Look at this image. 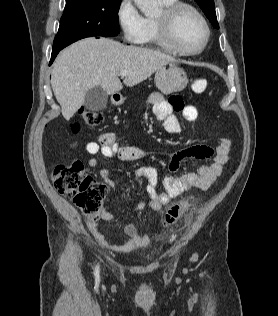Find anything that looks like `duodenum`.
Wrapping results in <instances>:
<instances>
[{"instance_id": "duodenum-1", "label": "duodenum", "mask_w": 278, "mask_h": 316, "mask_svg": "<svg viewBox=\"0 0 278 316\" xmlns=\"http://www.w3.org/2000/svg\"><path fill=\"white\" fill-rule=\"evenodd\" d=\"M120 100H121V98H120V96H119V95H114V96H113V102H114V103H116V104H117V103H119V102H120Z\"/></svg>"}]
</instances>
